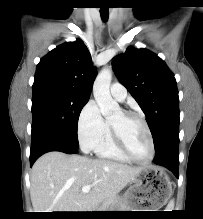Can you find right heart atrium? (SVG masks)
Masks as SVG:
<instances>
[{"instance_id": "obj_1", "label": "right heart atrium", "mask_w": 203, "mask_h": 219, "mask_svg": "<svg viewBox=\"0 0 203 219\" xmlns=\"http://www.w3.org/2000/svg\"><path fill=\"white\" fill-rule=\"evenodd\" d=\"M106 129L103 118L95 101H88L82 108L77 120V135L84 152L95 150Z\"/></svg>"}]
</instances>
